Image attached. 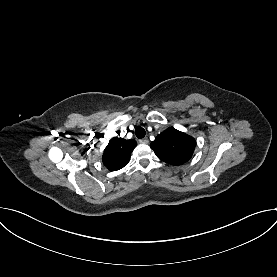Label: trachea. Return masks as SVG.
<instances>
[{
    "mask_svg": "<svg viewBox=\"0 0 277 277\" xmlns=\"http://www.w3.org/2000/svg\"><path fill=\"white\" fill-rule=\"evenodd\" d=\"M145 130L144 128H142L141 126L136 127L135 129V135L137 136V138L141 139L145 137Z\"/></svg>",
    "mask_w": 277,
    "mask_h": 277,
    "instance_id": "trachea-1",
    "label": "trachea"
}]
</instances>
